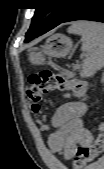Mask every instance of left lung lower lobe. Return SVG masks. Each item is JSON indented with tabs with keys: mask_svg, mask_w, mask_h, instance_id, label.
<instances>
[{
	"mask_svg": "<svg viewBox=\"0 0 104 169\" xmlns=\"http://www.w3.org/2000/svg\"><path fill=\"white\" fill-rule=\"evenodd\" d=\"M76 20H91L104 23V8L102 2L95 0H78L76 8L61 23ZM46 32L48 31H39L37 34L26 39L25 42H29Z\"/></svg>",
	"mask_w": 104,
	"mask_h": 169,
	"instance_id": "left-lung-lower-lobe-1",
	"label": "left lung lower lobe"
}]
</instances>
